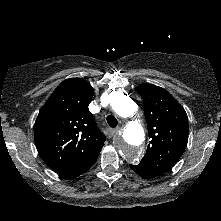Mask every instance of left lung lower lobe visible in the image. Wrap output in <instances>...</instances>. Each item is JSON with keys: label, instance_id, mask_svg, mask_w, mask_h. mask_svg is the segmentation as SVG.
<instances>
[{"label": "left lung lower lobe", "instance_id": "obj_1", "mask_svg": "<svg viewBox=\"0 0 221 221\" xmlns=\"http://www.w3.org/2000/svg\"><path fill=\"white\" fill-rule=\"evenodd\" d=\"M130 167L139 175L145 178H152L159 174L145 164L130 165Z\"/></svg>", "mask_w": 221, "mask_h": 221}]
</instances>
